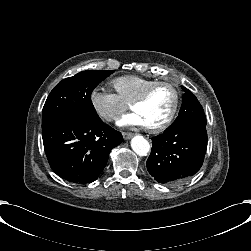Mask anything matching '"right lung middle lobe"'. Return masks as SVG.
<instances>
[{"mask_svg": "<svg viewBox=\"0 0 251 251\" xmlns=\"http://www.w3.org/2000/svg\"><path fill=\"white\" fill-rule=\"evenodd\" d=\"M112 71L90 70L63 79L49 94L42 110V128L71 114L99 119L92 104L94 88Z\"/></svg>", "mask_w": 251, "mask_h": 251, "instance_id": "1", "label": "right lung middle lobe"}]
</instances>
